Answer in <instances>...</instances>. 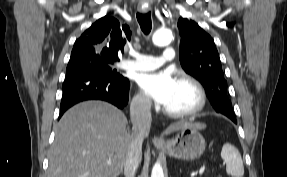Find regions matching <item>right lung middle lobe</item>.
Returning <instances> with one entry per match:
<instances>
[{"label": "right lung middle lobe", "instance_id": "right-lung-middle-lobe-1", "mask_svg": "<svg viewBox=\"0 0 287 177\" xmlns=\"http://www.w3.org/2000/svg\"><path fill=\"white\" fill-rule=\"evenodd\" d=\"M114 61L105 60L98 57L80 58L74 61H69L66 74L80 71H94L112 78H120L121 75L115 69L110 67Z\"/></svg>", "mask_w": 287, "mask_h": 177}]
</instances>
